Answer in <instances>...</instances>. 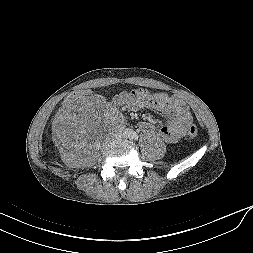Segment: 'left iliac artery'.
<instances>
[{
    "instance_id": "obj_1",
    "label": "left iliac artery",
    "mask_w": 253,
    "mask_h": 253,
    "mask_svg": "<svg viewBox=\"0 0 253 253\" xmlns=\"http://www.w3.org/2000/svg\"><path fill=\"white\" fill-rule=\"evenodd\" d=\"M130 139L137 141L139 136L136 132H131L129 135Z\"/></svg>"
}]
</instances>
